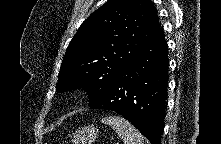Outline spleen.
I'll return each mask as SVG.
<instances>
[{
    "label": "spleen",
    "instance_id": "1",
    "mask_svg": "<svg viewBox=\"0 0 221 144\" xmlns=\"http://www.w3.org/2000/svg\"><path fill=\"white\" fill-rule=\"evenodd\" d=\"M102 123L110 125L124 144H144L143 135L125 118L111 115L103 118Z\"/></svg>",
    "mask_w": 221,
    "mask_h": 144
}]
</instances>
